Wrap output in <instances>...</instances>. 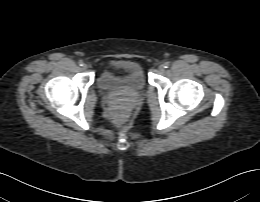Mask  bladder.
<instances>
[{
  "mask_svg": "<svg viewBox=\"0 0 260 202\" xmlns=\"http://www.w3.org/2000/svg\"><path fill=\"white\" fill-rule=\"evenodd\" d=\"M97 86L105 92L141 94L147 87L142 67L136 62H114L105 67L97 77Z\"/></svg>",
  "mask_w": 260,
  "mask_h": 202,
  "instance_id": "31cf9c89",
  "label": "bladder"
}]
</instances>
